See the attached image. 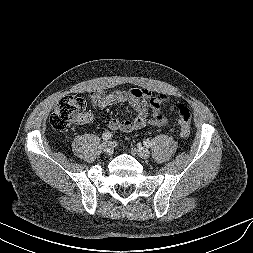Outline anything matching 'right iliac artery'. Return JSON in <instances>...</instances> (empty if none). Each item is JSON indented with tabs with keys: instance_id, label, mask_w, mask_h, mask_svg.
Returning a JSON list of instances; mask_svg holds the SVG:
<instances>
[{
	"instance_id": "1",
	"label": "right iliac artery",
	"mask_w": 253,
	"mask_h": 253,
	"mask_svg": "<svg viewBox=\"0 0 253 253\" xmlns=\"http://www.w3.org/2000/svg\"><path fill=\"white\" fill-rule=\"evenodd\" d=\"M112 136H113L112 133L109 132V131H107V132H105V133L103 134L102 139H103L104 141H107V140L111 139Z\"/></svg>"
}]
</instances>
